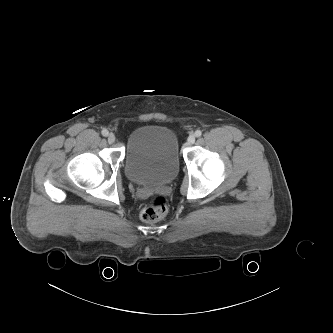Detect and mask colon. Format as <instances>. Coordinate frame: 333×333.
<instances>
[{
	"instance_id": "colon-1",
	"label": "colon",
	"mask_w": 333,
	"mask_h": 333,
	"mask_svg": "<svg viewBox=\"0 0 333 333\" xmlns=\"http://www.w3.org/2000/svg\"><path fill=\"white\" fill-rule=\"evenodd\" d=\"M168 211L167 202L164 197L158 196L142 208L140 217L146 222H155L163 219Z\"/></svg>"
}]
</instances>
